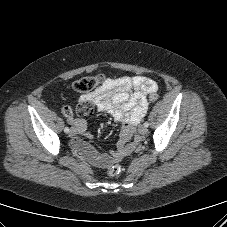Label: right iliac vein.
Masks as SVG:
<instances>
[{
  "label": "right iliac vein",
  "instance_id": "obj_1",
  "mask_svg": "<svg viewBox=\"0 0 227 227\" xmlns=\"http://www.w3.org/2000/svg\"><path fill=\"white\" fill-rule=\"evenodd\" d=\"M75 134H76V130H75V128H72L69 132V136L73 137V136H75Z\"/></svg>",
  "mask_w": 227,
  "mask_h": 227
}]
</instances>
